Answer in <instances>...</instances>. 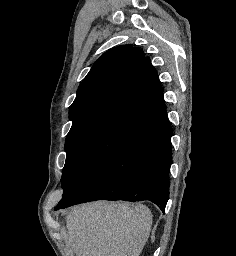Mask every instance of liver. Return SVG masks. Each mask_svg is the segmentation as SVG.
I'll return each instance as SVG.
<instances>
[{
	"instance_id": "obj_1",
	"label": "liver",
	"mask_w": 236,
	"mask_h": 256,
	"mask_svg": "<svg viewBox=\"0 0 236 256\" xmlns=\"http://www.w3.org/2000/svg\"><path fill=\"white\" fill-rule=\"evenodd\" d=\"M66 246L76 256H140L152 226L143 204L90 202L66 214Z\"/></svg>"
}]
</instances>
